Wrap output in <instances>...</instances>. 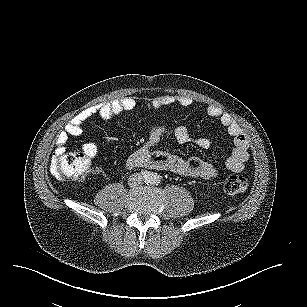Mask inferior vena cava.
<instances>
[{
	"label": "inferior vena cava",
	"instance_id": "obj_1",
	"mask_svg": "<svg viewBox=\"0 0 307 307\" xmlns=\"http://www.w3.org/2000/svg\"><path fill=\"white\" fill-rule=\"evenodd\" d=\"M143 177L139 173H134L130 175L128 179V184L130 187H136L142 183Z\"/></svg>",
	"mask_w": 307,
	"mask_h": 307
}]
</instances>
